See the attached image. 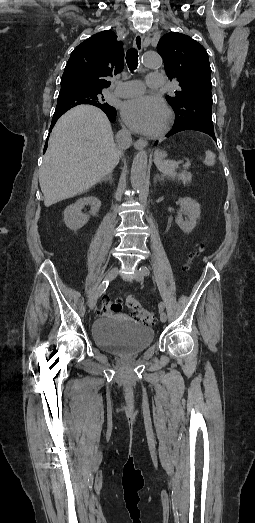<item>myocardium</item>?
<instances>
[{
    "mask_svg": "<svg viewBox=\"0 0 255 523\" xmlns=\"http://www.w3.org/2000/svg\"><path fill=\"white\" fill-rule=\"evenodd\" d=\"M166 122L162 128L161 134H165L174 122V113L170 108L166 109Z\"/></svg>",
    "mask_w": 255,
    "mask_h": 523,
    "instance_id": "obj_1",
    "label": "myocardium"
}]
</instances>
